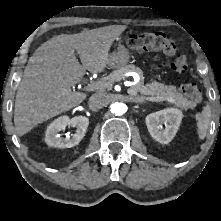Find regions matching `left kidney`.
Instances as JSON below:
<instances>
[{"mask_svg": "<svg viewBox=\"0 0 221 221\" xmlns=\"http://www.w3.org/2000/svg\"><path fill=\"white\" fill-rule=\"evenodd\" d=\"M183 114L175 108L151 113L146 117V125L152 138L161 144H168L176 135ZM162 124L165 125L163 128Z\"/></svg>", "mask_w": 221, "mask_h": 221, "instance_id": "1", "label": "left kidney"}]
</instances>
